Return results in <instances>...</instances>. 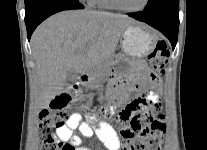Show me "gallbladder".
<instances>
[{"label":"gallbladder","instance_id":"gallbladder-1","mask_svg":"<svg viewBox=\"0 0 207 150\" xmlns=\"http://www.w3.org/2000/svg\"><path fill=\"white\" fill-rule=\"evenodd\" d=\"M76 80H77V74L73 71H69L67 73V77H66V81H65L64 86L67 87L69 84L73 83Z\"/></svg>","mask_w":207,"mask_h":150}]
</instances>
